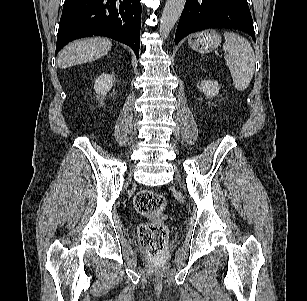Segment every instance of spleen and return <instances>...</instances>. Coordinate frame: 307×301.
I'll return each mask as SVG.
<instances>
[{"label":"spleen","mask_w":307,"mask_h":301,"mask_svg":"<svg viewBox=\"0 0 307 301\" xmlns=\"http://www.w3.org/2000/svg\"><path fill=\"white\" fill-rule=\"evenodd\" d=\"M226 64L229 67L234 86L237 90H245L253 77L255 56L251 44L244 37L234 33H224Z\"/></svg>","instance_id":"obj_1"}]
</instances>
